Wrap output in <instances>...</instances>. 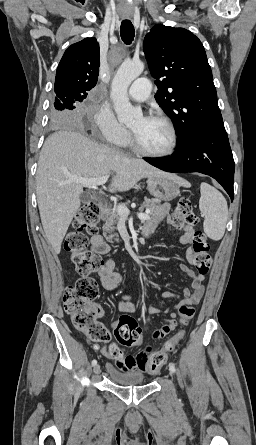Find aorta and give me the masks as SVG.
I'll use <instances>...</instances> for the list:
<instances>
[{"label": "aorta", "mask_w": 256, "mask_h": 445, "mask_svg": "<svg viewBox=\"0 0 256 445\" xmlns=\"http://www.w3.org/2000/svg\"><path fill=\"white\" fill-rule=\"evenodd\" d=\"M144 64L141 61H125L119 67L111 85V98L118 121L130 124L142 116L140 108L133 107L128 98V87L141 75Z\"/></svg>", "instance_id": "762f6f07"}]
</instances>
